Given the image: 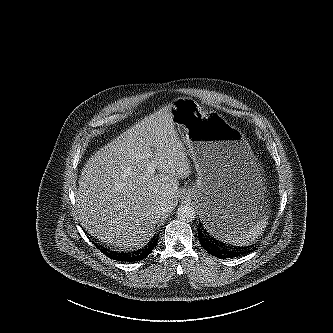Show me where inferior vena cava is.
<instances>
[{"label": "inferior vena cava", "instance_id": "inferior-vena-cava-1", "mask_svg": "<svg viewBox=\"0 0 333 333\" xmlns=\"http://www.w3.org/2000/svg\"><path fill=\"white\" fill-rule=\"evenodd\" d=\"M156 212H157L158 215H162V214H165L167 212V209H166L164 204H160V205L157 206Z\"/></svg>", "mask_w": 333, "mask_h": 333}]
</instances>
